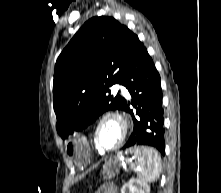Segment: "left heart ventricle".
<instances>
[{"label":"left heart ventricle","instance_id":"1","mask_svg":"<svg viewBox=\"0 0 221 193\" xmlns=\"http://www.w3.org/2000/svg\"><path fill=\"white\" fill-rule=\"evenodd\" d=\"M120 137V127L113 120H106L99 128L98 141L104 148H110L116 144Z\"/></svg>","mask_w":221,"mask_h":193}]
</instances>
